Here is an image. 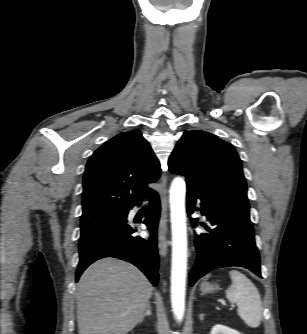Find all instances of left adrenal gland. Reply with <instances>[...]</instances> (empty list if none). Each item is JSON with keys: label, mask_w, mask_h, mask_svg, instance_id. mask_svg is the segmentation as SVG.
I'll return each mask as SVG.
<instances>
[{"label": "left adrenal gland", "mask_w": 307, "mask_h": 334, "mask_svg": "<svg viewBox=\"0 0 307 334\" xmlns=\"http://www.w3.org/2000/svg\"><path fill=\"white\" fill-rule=\"evenodd\" d=\"M204 316H205L204 314L199 315V318H200L201 321L204 319Z\"/></svg>", "instance_id": "1"}]
</instances>
